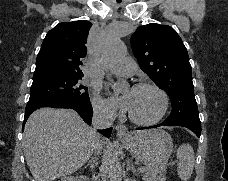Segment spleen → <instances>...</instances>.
I'll return each instance as SVG.
<instances>
[{"label": "spleen", "instance_id": "1", "mask_svg": "<svg viewBox=\"0 0 228 181\" xmlns=\"http://www.w3.org/2000/svg\"><path fill=\"white\" fill-rule=\"evenodd\" d=\"M176 157L179 161L177 167L179 179H181V181H188L195 165V155L191 145H188V143L180 145L179 149H177Z\"/></svg>", "mask_w": 228, "mask_h": 181}]
</instances>
